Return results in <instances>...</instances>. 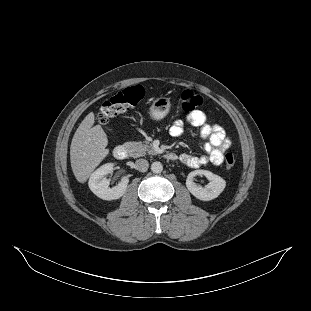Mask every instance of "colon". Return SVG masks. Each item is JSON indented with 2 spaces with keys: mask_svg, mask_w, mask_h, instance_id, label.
<instances>
[{
  "mask_svg": "<svg viewBox=\"0 0 311 311\" xmlns=\"http://www.w3.org/2000/svg\"><path fill=\"white\" fill-rule=\"evenodd\" d=\"M144 96V91L139 86L127 88L105 101L98 115L102 124H107L112 118L117 117L136 107ZM202 97L192 90H185L180 95V107L185 112H192L202 105ZM236 159L232 153L225 155V167L233 168Z\"/></svg>",
  "mask_w": 311,
  "mask_h": 311,
  "instance_id": "5ec220e1",
  "label": "colon"
}]
</instances>
